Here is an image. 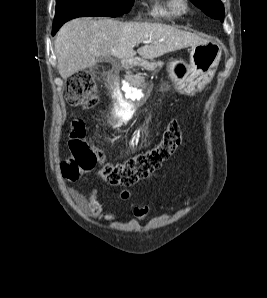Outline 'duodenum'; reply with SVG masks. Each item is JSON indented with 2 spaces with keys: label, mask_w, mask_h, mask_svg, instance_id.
Here are the masks:
<instances>
[{
  "label": "duodenum",
  "mask_w": 267,
  "mask_h": 298,
  "mask_svg": "<svg viewBox=\"0 0 267 298\" xmlns=\"http://www.w3.org/2000/svg\"><path fill=\"white\" fill-rule=\"evenodd\" d=\"M134 65H135V62L132 59H126V60H123V62H122V67L124 69L131 68ZM134 103H138V98H131V100H128V101H126V100L120 101L121 105H126V104L133 105Z\"/></svg>",
  "instance_id": "duodenum-1"
}]
</instances>
